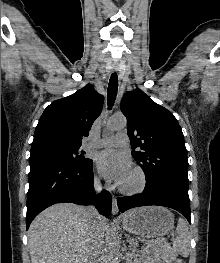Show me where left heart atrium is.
Masks as SVG:
<instances>
[{
	"label": "left heart atrium",
	"mask_w": 220,
	"mask_h": 263,
	"mask_svg": "<svg viewBox=\"0 0 220 263\" xmlns=\"http://www.w3.org/2000/svg\"><path fill=\"white\" fill-rule=\"evenodd\" d=\"M97 166L107 179L120 185L131 172L129 158L116 150H104L97 155Z\"/></svg>",
	"instance_id": "left-heart-atrium-1"
}]
</instances>
